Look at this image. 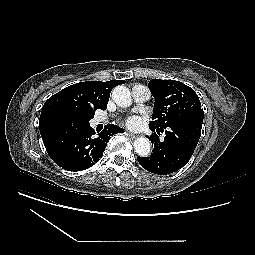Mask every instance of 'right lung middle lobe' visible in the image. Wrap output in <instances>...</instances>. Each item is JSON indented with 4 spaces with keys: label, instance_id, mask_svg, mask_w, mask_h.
Instances as JSON below:
<instances>
[{
    "label": "right lung middle lobe",
    "instance_id": "right-lung-middle-lobe-1",
    "mask_svg": "<svg viewBox=\"0 0 255 255\" xmlns=\"http://www.w3.org/2000/svg\"><path fill=\"white\" fill-rule=\"evenodd\" d=\"M94 115H88L82 118H74L67 116H59L56 117L50 125L55 126L57 128L63 129L68 133H74L81 128H83L89 120L93 118Z\"/></svg>",
    "mask_w": 255,
    "mask_h": 255
}]
</instances>
